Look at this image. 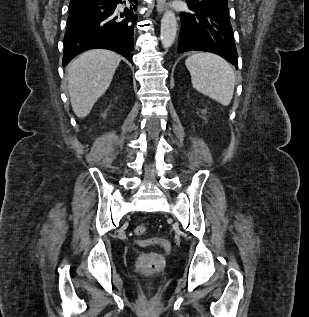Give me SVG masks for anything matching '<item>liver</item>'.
<instances>
[{
	"mask_svg": "<svg viewBox=\"0 0 309 317\" xmlns=\"http://www.w3.org/2000/svg\"><path fill=\"white\" fill-rule=\"evenodd\" d=\"M121 61L112 51L90 50L68 66V90L71 106L79 118L86 117L95 102L108 89Z\"/></svg>",
	"mask_w": 309,
	"mask_h": 317,
	"instance_id": "liver-1",
	"label": "liver"
}]
</instances>
